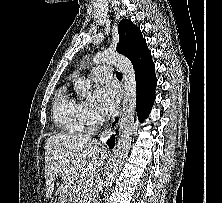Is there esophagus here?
Segmentation results:
<instances>
[{
    "label": "esophagus",
    "mask_w": 222,
    "mask_h": 203,
    "mask_svg": "<svg viewBox=\"0 0 222 203\" xmlns=\"http://www.w3.org/2000/svg\"><path fill=\"white\" fill-rule=\"evenodd\" d=\"M121 116H122V108L120 109L118 114L112 118L110 123L104 128V130L102 132V136L104 139L108 138L109 135L117 129V127L121 121Z\"/></svg>",
    "instance_id": "obj_1"
}]
</instances>
